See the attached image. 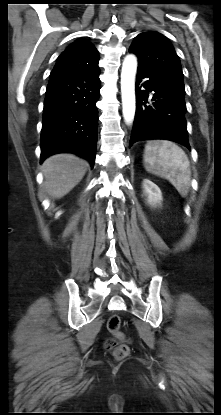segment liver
Wrapping results in <instances>:
<instances>
[{"label": "liver", "instance_id": "obj_1", "mask_svg": "<svg viewBox=\"0 0 221 415\" xmlns=\"http://www.w3.org/2000/svg\"><path fill=\"white\" fill-rule=\"evenodd\" d=\"M87 167L85 160L69 153L47 158L42 164L46 192L53 198H62L82 180Z\"/></svg>", "mask_w": 221, "mask_h": 415}]
</instances>
